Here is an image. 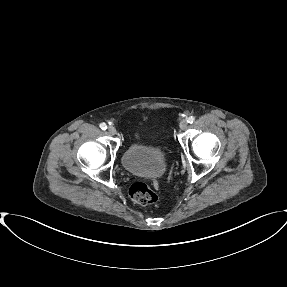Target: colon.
Returning <instances> with one entry per match:
<instances>
[{
	"mask_svg": "<svg viewBox=\"0 0 287 287\" xmlns=\"http://www.w3.org/2000/svg\"><path fill=\"white\" fill-rule=\"evenodd\" d=\"M159 183L154 181L152 185L145 182H135L129 189L131 199L140 205L154 204L158 200L157 190Z\"/></svg>",
	"mask_w": 287,
	"mask_h": 287,
	"instance_id": "obj_1",
	"label": "colon"
}]
</instances>
